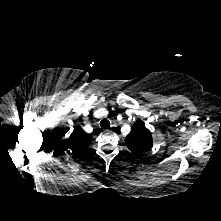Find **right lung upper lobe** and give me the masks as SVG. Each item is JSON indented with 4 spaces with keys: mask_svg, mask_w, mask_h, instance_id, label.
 <instances>
[{
    "mask_svg": "<svg viewBox=\"0 0 221 221\" xmlns=\"http://www.w3.org/2000/svg\"><path fill=\"white\" fill-rule=\"evenodd\" d=\"M92 141V136L84 133L81 127H75L73 133L70 135L69 147L67 152H70L77 156L87 150L90 142Z\"/></svg>",
    "mask_w": 221,
    "mask_h": 221,
    "instance_id": "cb5924a9",
    "label": "right lung upper lobe"
}]
</instances>
